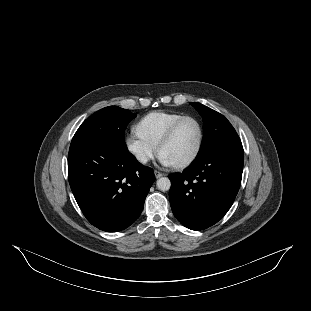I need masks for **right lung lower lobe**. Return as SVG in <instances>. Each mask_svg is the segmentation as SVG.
<instances>
[{
  "instance_id": "right-lung-lower-lobe-1",
  "label": "right lung lower lobe",
  "mask_w": 311,
  "mask_h": 311,
  "mask_svg": "<svg viewBox=\"0 0 311 311\" xmlns=\"http://www.w3.org/2000/svg\"><path fill=\"white\" fill-rule=\"evenodd\" d=\"M68 177L87 220L107 232L130 226L141 214L155 180L127 147L89 140L69 149Z\"/></svg>"
}]
</instances>
